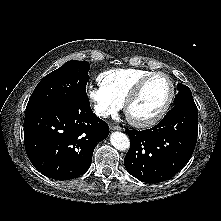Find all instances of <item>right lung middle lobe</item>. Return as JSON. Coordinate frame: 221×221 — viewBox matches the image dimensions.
<instances>
[{
    "label": "right lung middle lobe",
    "mask_w": 221,
    "mask_h": 221,
    "mask_svg": "<svg viewBox=\"0 0 221 221\" xmlns=\"http://www.w3.org/2000/svg\"><path fill=\"white\" fill-rule=\"evenodd\" d=\"M89 69L87 61H68L49 73L34 89L26 110L49 106L76 109L89 103L86 94Z\"/></svg>",
    "instance_id": "dd1d6c3e"
}]
</instances>
